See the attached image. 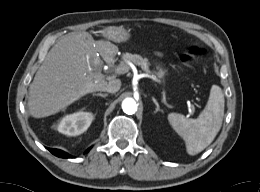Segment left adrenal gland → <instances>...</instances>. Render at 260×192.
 Masks as SVG:
<instances>
[{
	"mask_svg": "<svg viewBox=\"0 0 260 192\" xmlns=\"http://www.w3.org/2000/svg\"><path fill=\"white\" fill-rule=\"evenodd\" d=\"M152 100H153V102H154L155 105H156V110L154 111V113L156 114V113L159 112V111L163 112V111L160 109L159 104H158V102L156 101V99L153 98Z\"/></svg>",
	"mask_w": 260,
	"mask_h": 192,
	"instance_id": "a2214340",
	"label": "left adrenal gland"
}]
</instances>
